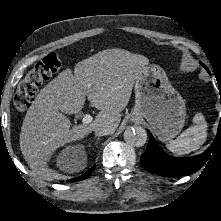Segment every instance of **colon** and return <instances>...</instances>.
Returning a JSON list of instances; mask_svg holds the SVG:
<instances>
[{
    "mask_svg": "<svg viewBox=\"0 0 221 221\" xmlns=\"http://www.w3.org/2000/svg\"><path fill=\"white\" fill-rule=\"evenodd\" d=\"M62 59L55 53H50L38 62L18 84L13 103L18 112L27 110L33 103L38 88L49 80L62 67Z\"/></svg>",
    "mask_w": 221,
    "mask_h": 221,
    "instance_id": "obj_1",
    "label": "colon"
}]
</instances>
